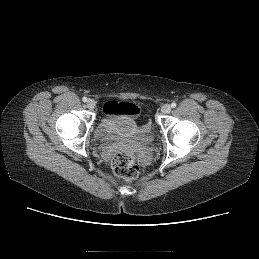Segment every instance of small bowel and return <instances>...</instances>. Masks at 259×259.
<instances>
[{
  "label": "small bowel",
  "mask_w": 259,
  "mask_h": 259,
  "mask_svg": "<svg viewBox=\"0 0 259 259\" xmlns=\"http://www.w3.org/2000/svg\"><path fill=\"white\" fill-rule=\"evenodd\" d=\"M130 104V103H119L117 101H108L104 104V113L106 114L107 118H114V117H125V116H137L139 114V108L134 105L130 104L134 107L135 112L132 114H127L123 111V105Z\"/></svg>",
  "instance_id": "obj_1"
}]
</instances>
